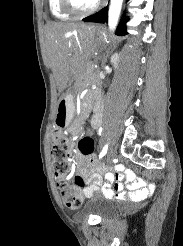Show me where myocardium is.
Instances as JSON below:
<instances>
[{
    "label": "myocardium",
    "instance_id": "myocardium-1",
    "mask_svg": "<svg viewBox=\"0 0 183 246\" xmlns=\"http://www.w3.org/2000/svg\"><path fill=\"white\" fill-rule=\"evenodd\" d=\"M62 8L65 12L74 17H84L95 12L100 6V0H96L90 7L80 9L75 4L74 0H60Z\"/></svg>",
    "mask_w": 183,
    "mask_h": 246
}]
</instances>
